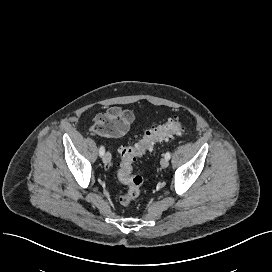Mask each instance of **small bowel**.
Segmentation results:
<instances>
[{
    "label": "small bowel",
    "instance_id": "small-bowel-1",
    "mask_svg": "<svg viewBox=\"0 0 272 272\" xmlns=\"http://www.w3.org/2000/svg\"><path fill=\"white\" fill-rule=\"evenodd\" d=\"M129 116H130L129 122H131L133 120V115L129 113Z\"/></svg>",
    "mask_w": 272,
    "mask_h": 272
}]
</instances>
